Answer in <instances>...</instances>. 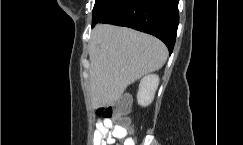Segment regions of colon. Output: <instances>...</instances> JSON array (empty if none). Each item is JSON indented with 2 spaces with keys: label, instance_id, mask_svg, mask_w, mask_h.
I'll use <instances>...</instances> for the list:
<instances>
[{
  "label": "colon",
  "instance_id": "1",
  "mask_svg": "<svg viewBox=\"0 0 243 145\" xmlns=\"http://www.w3.org/2000/svg\"><path fill=\"white\" fill-rule=\"evenodd\" d=\"M130 109V99L128 96H122L115 104L99 108L97 110V115L101 119H109L116 121L118 126L126 130V132L132 131L131 121L128 116Z\"/></svg>",
  "mask_w": 243,
  "mask_h": 145
}]
</instances>
